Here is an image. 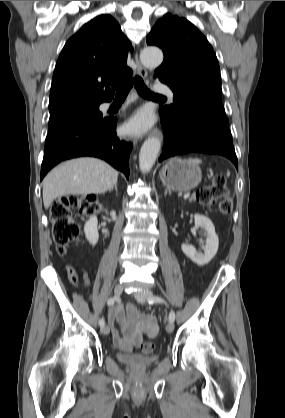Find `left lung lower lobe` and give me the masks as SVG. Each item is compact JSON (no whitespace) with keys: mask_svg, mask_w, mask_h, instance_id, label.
<instances>
[{"mask_svg":"<svg viewBox=\"0 0 285 418\" xmlns=\"http://www.w3.org/2000/svg\"><path fill=\"white\" fill-rule=\"evenodd\" d=\"M161 123L165 139L160 162L176 155L200 152L223 155L238 167L228 119L224 114L193 109L175 118L161 116Z\"/></svg>","mask_w":285,"mask_h":418,"instance_id":"obj_1","label":"left lung lower lobe"}]
</instances>
